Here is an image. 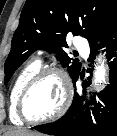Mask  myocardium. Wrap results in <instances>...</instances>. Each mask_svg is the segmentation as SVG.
<instances>
[{"label":"myocardium","instance_id":"f54148a6","mask_svg":"<svg viewBox=\"0 0 117 136\" xmlns=\"http://www.w3.org/2000/svg\"><path fill=\"white\" fill-rule=\"evenodd\" d=\"M49 75H55L59 77L62 82V89H63L62 103L57 109V111L48 117L39 118V119L29 118L25 112V102H26L27 96L29 95L33 87L40 80H42L43 78ZM71 99H72V89H71L69 77L66 74V72L63 69L59 67H55V66L45 67V68L39 69L23 87L19 96L18 104H17V115L19 116L20 119H22L23 121L29 124H43V123L52 122L60 118L65 113V111L68 109L71 103Z\"/></svg>","mask_w":117,"mask_h":136}]
</instances>
